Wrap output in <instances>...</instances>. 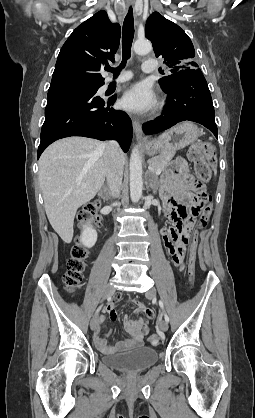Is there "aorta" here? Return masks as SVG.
<instances>
[{"mask_svg":"<svg viewBox=\"0 0 255 418\" xmlns=\"http://www.w3.org/2000/svg\"><path fill=\"white\" fill-rule=\"evenodd\" d=\"M134 51L139 55L147 54L152 50V45L148 40H137L134 43ZM130 197L132 202L136 203L142 196V161L138 147L132 149L130 163Z\"/></svg>","mask_w":255,"mask_h":418,"instance_id":"aorta-1","label":"aorta"}]
</instances>
